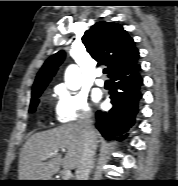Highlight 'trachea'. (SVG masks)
<instances>
[{
    "instance_id": "3493384b",
    "label": "trachea",
    "mask_w": 178,
    "mask_h": 186,
    "mask_svg": "<svg viewBox=\"0 0 178 186\" xmlns=\"http://www.w3.org/2000/svg\"><path fill=\"white\" fill-rule=\"evenodd\" d=\"M107 72H108V69H106V68L103 69V73H104V74H107Z\"/></svg>"
}]
</instances>
